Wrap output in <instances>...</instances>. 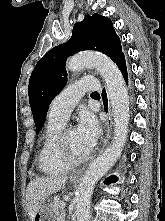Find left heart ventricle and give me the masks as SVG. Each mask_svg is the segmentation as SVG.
I'll return each mask as SVG.
<instances>
[{"label":"left heart ventricle","instance_id":"b2bd125f","mask_svg":"<svg viewBox=\"0 0 165 221\" xmlns=\"http://www.w3.org/2000/svg\"><path fill=\"white\" fill-rule=\"evenodd\" d=\"M67 140L72 153L76 157L85 155L90 149L81 141L75 128H69Z\"/></svg>","mask_w":165,"mask_h":221}]
</instances>
